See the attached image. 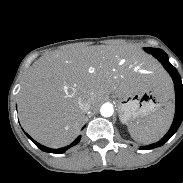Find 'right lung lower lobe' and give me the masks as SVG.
I'll list each match as a JSON object with an SVG mask.
<instances>
[{
	"label": "right lung lower lobe",
	"instance_id": "98d812e1",
	"mask_svg": "<svg viewBox=\"0 0 183 183\" xmlns=\"http://www.w3.org/2000/svg\"><path fill=\"white\" fill-rule=\"evenodd\" d=\"M28 138L39 148L41 149L42 151L44 152H49V153H55V154H61V153H64L66 150H68L70 147H72L73 145H76L79 143L80 139H81V136H78L77 139L72 142L70 145L68 146H65L63 148H59V149H51V148H48V147H45L39 143H37L36 141H34L27 133H25Z\"/></svg>",
	"mask_w": 183,
	"mask_h": 183
}]
</instances>
